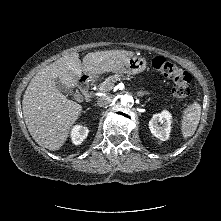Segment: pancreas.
Wrapping results in <instances>:
<instances>
[{"label": "pancreas", "mask_w": 221, "mask_h": 221, "mask_svg": "<svg viewBox=\"0 0 221 221\" xmlns=\"http://www.w3.org/2000/svg\"><path fill=\"white\" fill-rule=\"evenodd\" d=\"M119 80H121L120 75H112L99 85V90L103 92L110 91L114 87V83Z\"/></svg>", "instance_id": "pancreas-1"}]
</instances>
